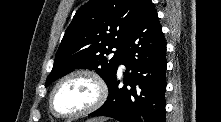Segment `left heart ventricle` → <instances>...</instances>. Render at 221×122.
Instances as JSON below:
<instances>
[{
    "label": "left heart ventricle",
    "mask_w": 221,
    "mask_h": 122,
    "mask_svg": "<svg viewBox=\"0 0 221 122\" xmlns=\"http://www.w3.org/2000/svg\"><path fill=\"white\" fill-rule=\"evenodd\" d=\"M96 95V86L90 79L74 77L57 89L53 102L60 113H75L92 104Z\"/></svg>",
    "instance_id": "left-heart-ventricle-1"
}]
</instances>
